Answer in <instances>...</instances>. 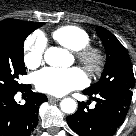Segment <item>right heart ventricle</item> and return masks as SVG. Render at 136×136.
Listing matches in <instances>:
<instances>
[{
    "mask_svg": "<svg viewBox=\"0 0 136 136\" xmlns=\"http://www.w3.org/2000/svg\"><path fill=\"white\" fill-rule=\"evenodd\" d=\"M52 36L60 45L77 51L91 43L89 33L76 25H66L53 31Z\"/></svg>",
    "mask_w": 136,
    "mask_h": 136,
    "instance_id": "e07e8e85",
    "label": "right heart ventricle"
}]
</instances>
